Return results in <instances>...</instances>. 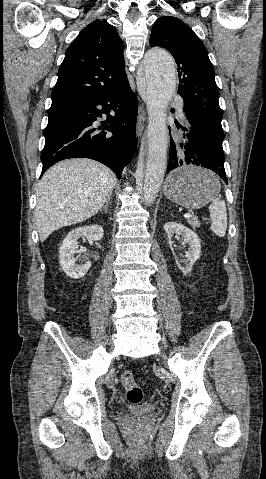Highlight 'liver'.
I'll list each match as a JSON object with an SVG mask.
<instances>
[{
  "label": "liver",
  "mask_w": 266,
  "mask_h": 479,
  "mask_svg": "<svg viewBox=\"0 0 266 479\" xmlns=\"http://www.w3.org/2000/svg\"><path fill=\"white\" fill-rule=\"evenodd\" d=\"M115 181L108 167L86 158L65 160L48 169L36 191L40 241L55 230L94 216L110 198Z\"/></svg>",
  "instance_id": "1"
}]
</instances>
